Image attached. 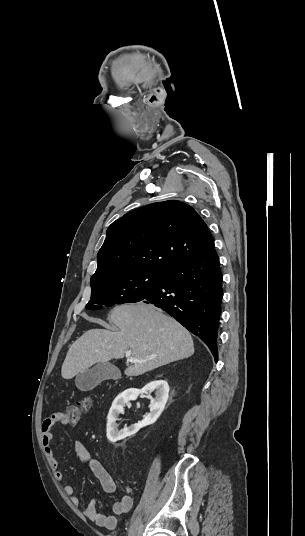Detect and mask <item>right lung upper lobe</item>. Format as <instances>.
I'll return each instance as SVG.
<instances>
[{
	"mask_svg": "<svg viewBox=\"0 0 305 536\" xmlns=\"http://www.w3.org/2000/svg\"><path fill=\"white\" fill-rule=\"evenodd\" d=\"M212 249L210 231L191 206L176 200L153 203L109 226L91 281L135 271L166 272Z\"/></svg>",
	"mask_w": 305,
	"mask_h": 536,
	"instance_id": "right-lung-upper-lobe-1",
	"label": "right lung upper lobe"
}]
</instances>
